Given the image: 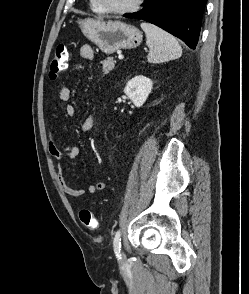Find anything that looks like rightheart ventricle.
Returning <instances> with one entry per match:
<instances>
[{"mask_svg":"<svg viewBox=\"0 0 249 294\" xmlns=\"http://www.w3.org/2000/svg\"><path fill=\"white\" fill-rule=\"evenodd\" d=\"M89 2H90V8L92 9V11H94L95 13H102L101 9L96 4L95 0H89Z\"/></svg>","mask_w":249,"mask_h":294,"instance_id":"obj_1","label":"right heart ventricle"}]
</instances>
